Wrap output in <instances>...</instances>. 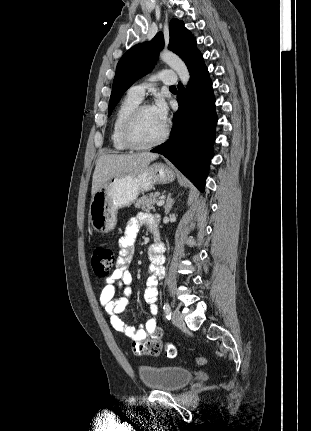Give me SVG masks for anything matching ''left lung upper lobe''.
Returning <instances> with one entry per match:
<instances>
[{
    "instance_id": "5c2ea615",
    "label": "left lung upper lobe",
    "mask_w": 311,
    "mask_h": 431,
    "mask_svg": "<svg viewBox=\"0 0 311 431\" xmlns=\"http://www.w3.org/2000/svg\"><path fill=\"white\" fill-rule=\"evenodd\" d=\"M169 49L183 59L188 66L199 52L196 41L184 23L172 19L169 26ZM164 46L163 33L159 32L151 42L137 44L129 49L120 59L116 68L112 93L109 102L108 116L119 102L123 93L139 78L151 71L159 51Z\"/></svg>"
}]
</instances>
